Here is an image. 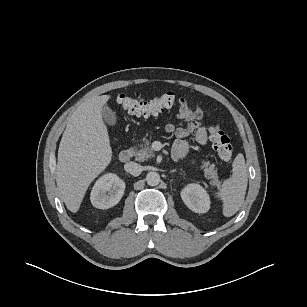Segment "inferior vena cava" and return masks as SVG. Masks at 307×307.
Returning a JSON list of instances; mask_svg holds the SVG:
<instances>
[{
  "instance_id": "602c4592",
  "label": "inferior vena cava",
  "mask_w": 307,
  "mask_h": 307,
  "mask_svg": "<svg viewBox=\"0 0 307 307\" xmlns=\"http://www.w3.org/2000/svg\"><path fill=\"white\" fill-rule=\"evenodd\" d=\"M124 169L126 172L130 173L133 176H139L141 172L143 171L142 166L133 161L127 162L124 165Z\"/></svg>"
}]
</instances>
